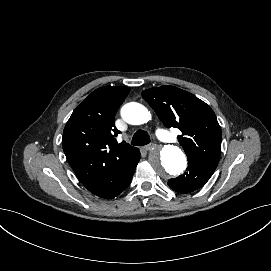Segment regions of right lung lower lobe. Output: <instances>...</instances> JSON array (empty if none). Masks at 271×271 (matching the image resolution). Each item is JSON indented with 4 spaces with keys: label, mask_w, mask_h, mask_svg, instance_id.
I'll return each mask as SVG.
<instances>
[{
    "label": "right lung lower lobe",
    "mask_w": 271,
    "mask_h": 271,
    "mask_svg": "<svg viewBox=\"0 0 271 271\" xmlns=\"http://www.w3.org/2000/svg\"><path fill=\"white\" fill-rule=\"evenodd\" d=\"M140 158L138 150L128 160L115 165L95 186L88 190L101 198L112 199L116 197L130 184Z\"/></svg>",
    "instance_id": "98d812e1"
}]
</instances>
